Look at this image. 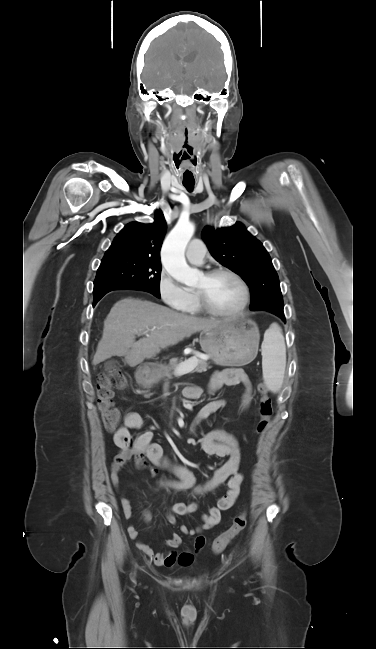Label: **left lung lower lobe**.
Returning a JSON list of instances; mask_svg holds the SVG:
<instances>
[{"mask_svg":"<svg viewBox=\"0 0 376 649\" xmlns=\"http://www.w3.org/2000/svg\"><path fill=\"white\" fill-rule=\"evenodd\" d=\"M282 320H284V321H285V317H284V318H282Z\"/></svg>","mask_w":376,"mask_h":649,"instance_id":"left-lung-lower-lobe-1","label":"left lung lower lobe"}]
</instances>
